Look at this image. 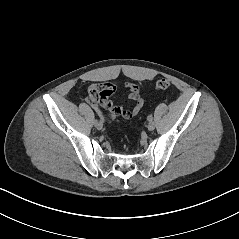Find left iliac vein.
I'll use <instances>...</instances> for the list:
<instances>
[{
	"instance_id": "left-iliac-vein-1",
	"label": "left iliac vein",
	"mask_w": 239,
	"mask_h": 239,
	"mask_svg": "<svg viewBox=\"0 0 239 239\" xmlns=\"http://www.w3.org/2000/svg\"><path fill=\"white\" fill-rule=\"evenodd\" d=\"M149 131H153L155 129V123L153 121H150L147 126Z\"/></svg>"
}]
</instances>
